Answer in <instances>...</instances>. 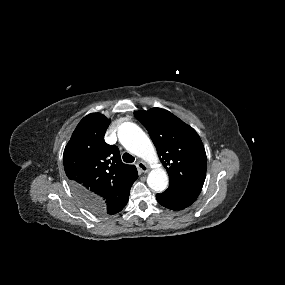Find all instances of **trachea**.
I'll list each match as a JSON object with an SVG mask.
<instances>
[{
    "instance_id": "3493384b",
    "label": "trachea",
    "mask_w": 285,
    "mask_h": 285,
    "mask_svg": "<svg viewBox=\"0 0 285 285\" xmlns=\"http://www.w3.org/2000/svg\"><path fill=\"white\" fill-rule=\"evenodd\" d=\"M122 158H123V161L126 163H132L135 160V158L129 153H124Z\"/></svg>"
}]
</instances>
